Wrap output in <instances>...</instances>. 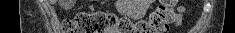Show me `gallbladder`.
Instances as JSON below:
<instances>
[{"mask_svg": "<svg viewBox=\"0 0 235 33\" xmlns=\"http://www.w3.org/2000/svg\"><path fill=\"white\" fill-rule=\"evenodd\" d=\"M72 5L71 4H65V7H71Z\"/></svg>", "mask_w": 235, "mask_h": 33, "instance_id": "obj_1", "label": "gallbladder"}]
</instances>
